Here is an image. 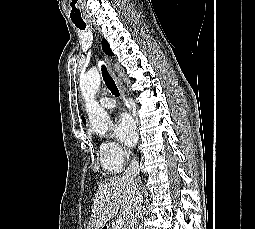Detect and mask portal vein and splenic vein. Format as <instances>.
<instances>
[{
  "instance_id": "obj_1",
  "label": "portal vein and splenic vein",
  "mask_w": 255,
  "mask_h": 229,
  "mask_svg": "<svg viewBox=\"0 0 255 229\" xmlns=\"http://www.w3.org/2000/svg\"><path fill=\"white\" fill-rule=\"evenodd\" d=\"M123 225H124L123 218H121V217L118 218L117 221H116V227L120 229Z\"/></svg>"
}]
</instances>
